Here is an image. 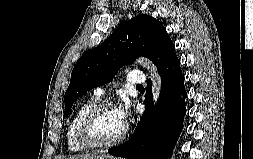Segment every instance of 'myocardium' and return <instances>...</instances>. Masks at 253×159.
<instances>
[{"instance_id":"1","label":"myocardium","mask_w":253,"mask_h":159,"mask_svg":"<svg viewBox=\"0 0 253 159\" xmlns=\"http://www.w3.org/2000/svg\"><path fill=\"white\" fill-rule=\"evenodd\" d=\"M116 109L114 103L102 101L94 105L83 117L78 128V140L85 148L105 149L120 144L126 137V127L122 133L115 139L107 142L98 141L93 134V123L97 116L105 109Z\"/></svg>"}]
</instances>
